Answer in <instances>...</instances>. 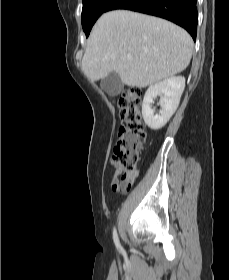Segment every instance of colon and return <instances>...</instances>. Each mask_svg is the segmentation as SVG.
Returning <instances> with one entry per match:
<instances>
[{
    "label": "colon",
    "mask_w": 229,
    "mask_h": 280,
    "mask_svg": "<svg viewBox=\"0 0 229 280\" xmlns=\"http://www.w3.org/2000/svg\"><path fill=\"white\" fill-rule=\"evenodd\" d=\"M141 104L139 88L127 87L120 93L121 127L112 155V163L122 170L112 185L116 191L129 190L137 174L139 152L146 140Z\"/></svg>",
    "instance_id": "1"
}]
</instances>
